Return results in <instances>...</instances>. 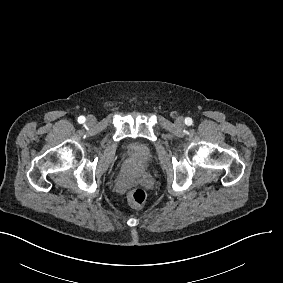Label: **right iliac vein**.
<instances>
[{
	"mask_svg": "<svg viewBox=\"0 0 283 283\" xmlns=\"http://www.w3.org/2000/svg\"><path fill=\"white\" fill-rule=\"evenodd\" d=\"M86 122L89 125H93L96 122V119L94 116H88Z\"/></svg>",
	"mask_w": 283,
	"mask_h": 283,
	"instance_id": "63e3f726",
	"label": "right iliac vein"
}]
</instances>
